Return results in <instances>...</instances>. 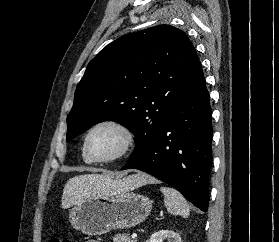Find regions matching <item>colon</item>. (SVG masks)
<instances>
[{"mask_svg":"<svg viewBox=\"0 0 279 242\" xmlns=\"http://www.w3.org/2000/svg\"><path fill=\"white\" fill-rule=\"evenodd\" d=\"M49 242H73L70 236L64 237H53L49 240Z\"/></svg>","mask_w":279,"mask_h":242,"instance_id":"5ec220e1","label":"colon"}]
</instances>
